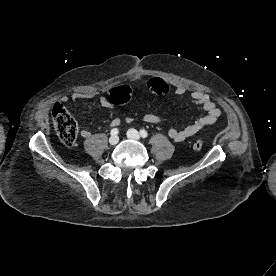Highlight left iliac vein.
Returning <instances> with one entry per match:
<instances>
[{"label":"left iliac vein","mask_w":276,"mask_h":276,"mask_svg":"<svg viewBox=\"0 0 276 276\" xmlns=\"http://www.w3.org/2000/svg\"><path fill=\"white\" fill-rule=\"evenodd\" d=\"M127 136L129 139H132V140H136V141L140 140V134L135 129H129L127 131Z\"/></svg>","instance_id":"1"}]
</instances>
